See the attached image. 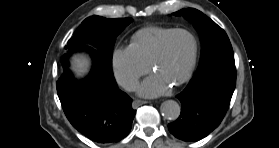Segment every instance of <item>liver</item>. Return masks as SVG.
<instances>
[{"mask_svg": "<svg viewBox=\"0 0 279 148\" xmlns=\"http://www.w3.org/2000/svg\"><path fill=\"white\" fill-rule=\"evenodd\" d=\"M89 59L85 56H74L72 60L73 69L78 73H85L89 67Z\"/></svg>", "mask_w": 279, "mask_h": 148, "instance_id": "1", "label": "liver"}]
</instances>
